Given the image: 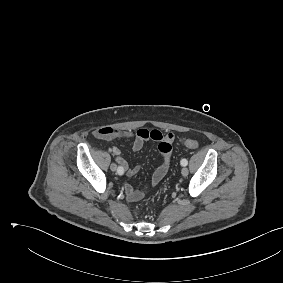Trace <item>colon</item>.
I'll list each match as a JSON object with an SVG mask.
<instances>
[{
  "label": "colon",
  "instance_id": "obj_1",
  "mask_svg": "<svg viewBox=\"0 0 283 283\" xmlns=\"http://www.w3.org/2000/svg\"><path fill=\"white\" fill-rule=\"evenodd\" d=\"M181 143L189 149H197L199 144L196 140L181 138Z\"/></svg>",
  "mask_w": 283,
  "mask_h": 283
}]
</instances>
